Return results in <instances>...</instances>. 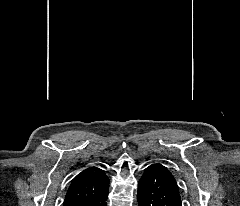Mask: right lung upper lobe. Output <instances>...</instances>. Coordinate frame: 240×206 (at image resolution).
Returning a JSON list of instances; mask_svg holds the SVG:
<instances>
[{
	"instance_id": "obj_1",
	"label": "right lung upper lobe",
	"mask_w": 240,
	"mask_h": 206,
	"mask_svg": "<svg viewBox=\"0 0 240 206\" xmlns=\"http://www.w3.org/2000/svg\"><path fill=\"white\" fill-rule=\"evenodd\" d=\"M109 187V179L104 170L90 167L79 173L72 181L63 206H79L96 197Z\"/></svg>"
}]
</instances>
